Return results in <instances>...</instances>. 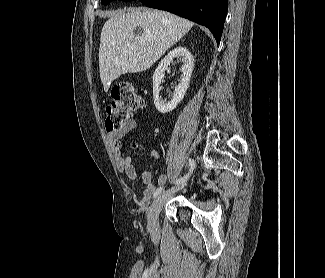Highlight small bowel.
I'll return each mask as SVG.
<instances>
[{
  "mask_svg": "<svg viewBox=\"0 0 325 278\" xmlns=\"http://www.w3.org/2000/svg\"><path fill=\"white\" fill-rule=\"evenodd\" d=\"M137 127H138L137 121L131 119L119 129L110 132L108 134V138L110 142L113 145H115L122 137L134 131L135 129H137ZM114 155L116 158V164L118 170L129 180L133 182H137L139 179L137 174V168L133 164L131 156L128 153L120 152L117 148H114ZM149 157L151 161H155L159 158V152L157 150H151L149 153ZM151 169H152V164L142 169L141 171L140 180L143 184L146 185V188L143 190L142 197L140 200L141 206H146L151 196L154 195L155 193L156 187L154 184L151 183V178H152ZM166 181H167V175L165 173H162L157 177V184L159 185L164 184Z\"/></svg>",
  "mask_w": 325,
  "mask_h": 278,
  "instance_id": "obj_1",
  "label": "small bowel"
}]
</instances>
